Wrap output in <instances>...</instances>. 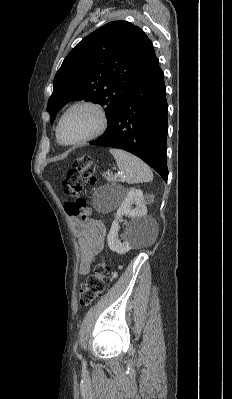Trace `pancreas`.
Returning <instances> with one entry per match:
<instances>
[{"label": "pancreas", "mask_w": 232, "mask_h": 399, "mask_svg": "<svg viewBox=\"0 0 232 399\" xmlns=\"http://www.w3.org/2000/svg\"><path fill=\"white\" fill-rule=\"evenodd\" d=\"M104 178H106L107 182H114V176L110 174V172H106V174H103Z\"/></svg>", "instance_id": "obj_1"}]
</instances>
